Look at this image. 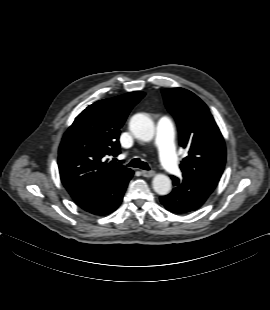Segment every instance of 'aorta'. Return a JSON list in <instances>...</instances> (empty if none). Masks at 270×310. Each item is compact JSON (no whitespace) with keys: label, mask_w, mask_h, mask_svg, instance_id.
Wrapping results in <instances>:
<instances>
[{"label":"aorta","mask_w":270,"mask_h":310,"mask_svg":"<svg viewBox=\"0 0 270 310\" xmlns=\"http://www.w3.org/2000/svg\"><path fill=\"white\" fill-rule=\"evenodd\" d=\"M129 128L134 136L142 141H151L154 137L155 127L151 118L138 113L131 117ZM154 191L159 195H167L171 191V180L164 174H156L152 180Z\"/></svg>","instance_id":"obj_1"}]
</instances>
